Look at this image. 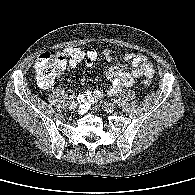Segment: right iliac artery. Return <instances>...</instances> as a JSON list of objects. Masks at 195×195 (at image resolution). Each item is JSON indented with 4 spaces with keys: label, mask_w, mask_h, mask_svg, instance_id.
Here are the masks:
<instances>
[{
    "label": "right iliac artery",
    "mask_w": 195,
    "mask_h": 195,
    "mask_svg": "<svg viewBox=\"0 0 195 195\" xmlns=\"http://www.w3.org/2000/svg\"><path fill=\"white\" fill-rule=\"evenodd\" d=\"M70 98L73 99V98H75V96L71 95Z\"/></svg>",
    "instance_id": "1"
}]
</instances>
